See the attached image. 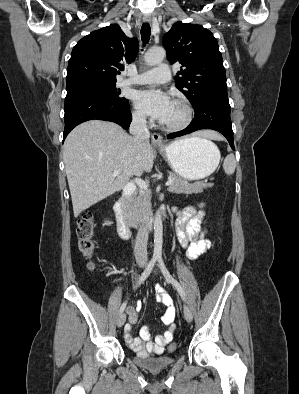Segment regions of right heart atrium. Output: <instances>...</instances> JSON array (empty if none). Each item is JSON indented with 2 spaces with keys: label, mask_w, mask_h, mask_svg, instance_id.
I'll use <instances>...</instances> for the list:
<instances>
[{
  "label": "right heart atrium",
  "mask_w": 299,
  "mask_h": 394,
  "mask_svg": "<svg viewBox=\"0 0 299 394\" xmlns=\"http://www.w3.org/2000/svg\"><path fill=\"white\" fill-rule=\"evenodd\" d=\"M133 121L137 124H145L146 119L144 117V115L139 112V111H134L133 112Z\"/></svg>",
  "instance_id": "1"
}]
</instances>
